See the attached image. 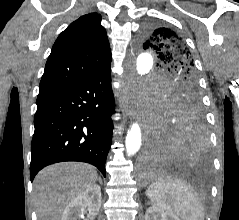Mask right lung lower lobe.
I'll return each instance as SVG.
<instances>
[{"label":"right lung lower lobe","instance_id":"1","mask_svg":"<svg viewBox=\"0 0 239 220\" xmlns=\"http://www.w3.org/2000/svg\"><path fill=\"white\" fill-rule=\"evenodd\" d=\"M113 112L110 65L80 82L39 92L31 143V181L45 166L62 161L93 164L105 176Z\"/></svg>","mask_w":239,"mask_h":220}]
</instances>
